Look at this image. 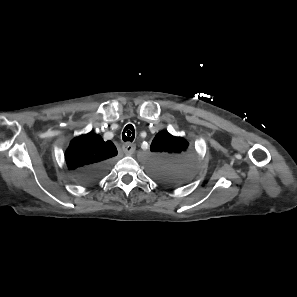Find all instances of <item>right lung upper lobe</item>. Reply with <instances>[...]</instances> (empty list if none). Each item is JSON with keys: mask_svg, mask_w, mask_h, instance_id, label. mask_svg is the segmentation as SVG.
I'll list each match as a JSON object with an SVG mask.
<instances>
[{"mask_svg": "<svg viewBox=\"0 0 297 297\" xmlns=\"http://www.w3.org/2000/svg\"><path fill=\"white\" fill-rule=\"evenodd\" d=\"M117 155V149L111 141H104L94 133L75 138L65 157L69 170L79 172L86 167L108 162V159Z\"/></svg>", "mask_w": 297, "mask_h": 297, "instance_id": "obj_1", "label": "right lung upper lobe"}]
</instances>
